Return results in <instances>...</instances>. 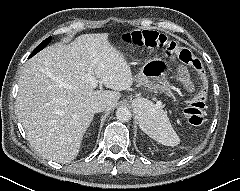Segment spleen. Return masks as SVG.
<instances>
[{
  "instance_id": "3e777b00",
  "label": "spleen",
  "mask_w": 240,
  "mask_h": 191,
  "mask_svg": "<svg viewBox=\"0 0 240 191\" xmlns=\"http://www.w3.org/2000/svg\"><path fill=\"white\" fill-rule=\"evenodd\" d=\"M140 128L152 139L165 146H176L180 139L174 131L167 114L153 105L145 109Z\"/></svg>"
}]
</instances>
